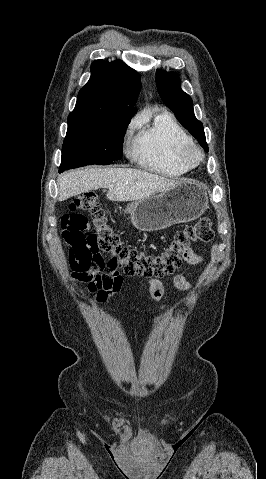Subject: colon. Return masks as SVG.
<instances>
[{"instance_id": "5ec220e1", "label": "colon", "mask_w": 266, "mask_h": 479, "mask_svg": "<svg viewBox=\"0 0 266 479\" xmlns=\"http://www.w3.org/2000/svg\"><path fill=\"white\" fill-rule=\"evenodd\" d=\"M91 216L95 232L88 233ZM61 228L68 246L69 267L73 278L102 302L120 290L123 275L161 278L172 274L182 262L187 249L214 238L213 222L201 218L196 224L179 230L158 254L141 251L122 243L110 225L107 212L97 195L87 192L69 204Z\"/></svg>"}]
</instances>
